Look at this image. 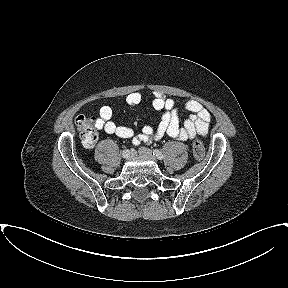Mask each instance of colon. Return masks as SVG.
<instances>
[{
    "label": "colon",
    "mask_w": 288,
    "mask_h": 288,
    "mask_svg": "<svg viewBox=\"0 0 288 288\" xmlns=\"http://www.w3.org/2000/svg\"><path fill=\"white\" fill-rule=\"evenodd\" d=\"M76 126L82 142L86 146H92L98 139V133L95 125V118L86 115H80L76 119ZM193 156L197 160H202L205 156L204 144L196 139L192 145Z\"/></svg>",
    "instance_id": "5ec220e1"
}]
</instances>
